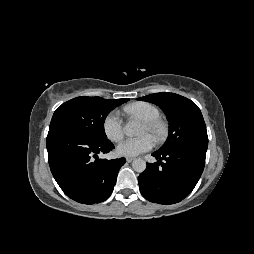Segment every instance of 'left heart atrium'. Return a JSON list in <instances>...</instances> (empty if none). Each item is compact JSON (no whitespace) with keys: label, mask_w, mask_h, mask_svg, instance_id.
Here are the masks:
<instances>
[{"label":"left heart atrium","mask_w":254,"mask_h":254,"mask_svg":"<svg viewBox=\"0 0 254 254\" xmlns=\"http://www.w3.org/2000/svg\"><path fill=\"white\" fill-rule=\"evenodd\" d=\"M153 146V138L146 134L136 138H127L118 145L117 153L122 156H137L149 151Z\"/></svg>","instance_id":"1"}]
</instances>
